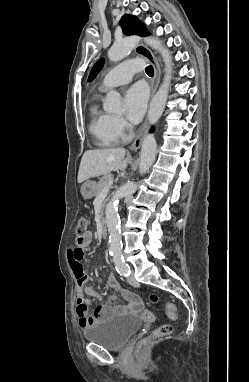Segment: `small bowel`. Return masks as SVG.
Returning <instances> with one entry per match:
<instances>
[{
	"label": "small bowel",
	"mask_w": 249,
	"mask_h": 382,
	"mask_svg": "<svg viewBox=\"0 0 249 382\" xmlns=\"http://www.w3.org/2000/svg\"><path fill=\"white\" fill-rule=\"evenodd\" d=\"M92 241V233L87 232L83 241H78L76 239L73 242L72 250L67 254L69 258L70 265L77 279L78 294L76 297V313L79 317V326L81 328H87L88 326L109 317L112 314V309L106 305H99L94 309L93 315L88 316V305L92 298L102 299L100 293L96 292L91 286L86 283L88 281V275L85 277H80L77 275V270L81 266V262L85 261L86 247L90 245ZM108 289L114 290L117 293L122 294L129 302V308L132 311H138L142 308V301L140 298L130 294L129 292L123 290L114 276H110L107 281ZM84 294L88 295L89 298H85Z\"/></svg>",
	"instance_id": "small-bowel-1"
}]
</instances>
